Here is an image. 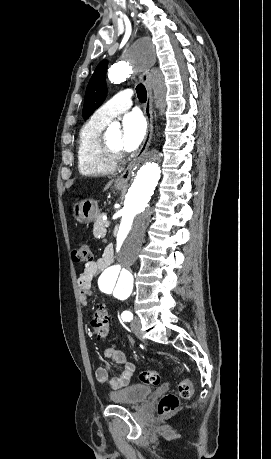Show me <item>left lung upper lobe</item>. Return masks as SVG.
<instances>
[{
  "mask_svg": "<svg viewBox=\"0 0 271 459\" xmlns=\"http://www.w3.org/2000/svg\"><path fill=\"white\" fill-rule=\"evenodd\" d=\"M107 61L103 60L96 67L86 89L84 107L82 111L83 119H87L105 100L107 87L105 74Z\"/></svg>",
  "mask_w": 271,
  "mask_h": 459,
  "instance_id": "5c2ea615",
  "label": "left lung upper lobe"
}]
</instances>
